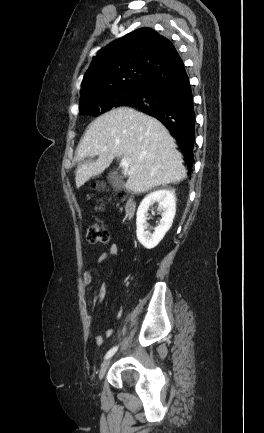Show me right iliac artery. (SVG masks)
<instances>
[{
    "label": "right iliac artery",
    "mask_w": 264,
    "mask_h": 433,
    "mask_svg": "<svg viewBox=\"0 0 264 433\" xmlns=\"http://www.w3.org/2000/svg\"><path fill=\"white\" fill-rule=\"evenodd\" d=\"M117 349H118V346H114V347H112V348L107 352V354L105 355V359H108V358H110L112 355H114V353L117 351Z\"/></svg>",
    "instance_id": "obj_1"
}]
</instances>
